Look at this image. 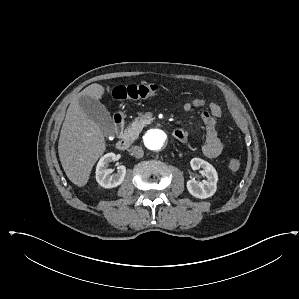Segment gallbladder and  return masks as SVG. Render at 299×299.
<instances>
[{
  "label": "gallbladder",
  "instance_id": "gallbladder-1",
  "mask_svg": "<svg viewBox=\"0 0 299 299\" xmlns=\"http://www.w3.org/2000/svg\"><path fill=\"white\" fill-rule=\"evenodd\" d=\"M79 105L85 114L96 122L105 134L114 128L113 120L106 107L97 99L89 96L79 97Z\"/></svg>",
  "mask_w": 299,
  "mask_h": 299
}]
</instances>
